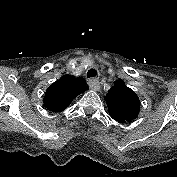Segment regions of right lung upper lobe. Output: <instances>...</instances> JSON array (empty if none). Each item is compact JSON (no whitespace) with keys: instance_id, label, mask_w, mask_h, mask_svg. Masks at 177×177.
Returning a JSON list of instances; mask_svg holds the SVG:
<instances>
[{"instance_id":"obj_1","label":"right lung upper lobe","mask_w":177,"mask_h":177,"mask_svg":"<svg viewBox=\"0 0 177 177\" xmlns=\"http://www.w3.org/2000/svg\"><path fill=\"white\" fill-rule=\"evenodd\" d=\"M86 89L83 82L64 76L48 87L44 97V105L52 112H61Z\"/></svg>"}]
</instances>
